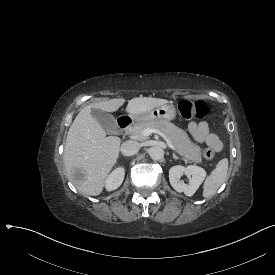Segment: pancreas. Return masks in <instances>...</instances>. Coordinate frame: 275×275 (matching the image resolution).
Returning <instances> with one entry per match:
<instances>
[{"instance_id":"obj_1","label":"pancreas","mask_w":275,"mask_h":275,"mask_svg":"<svg viewBox=\"0 0 275 275\" xmlns=\"http://www.w3.org/2000/svg\"><path fill=\"white\" fill-rule=\"evenodd\" d=\"M146 128L157 129L164 133L172 142L175 151L181 156L198 163L202 161L200 147L190 141L184 130L167 120L136 123L130 126L126 133L134 139L144 141L147 137L142 134V131Z\"/></svg>"}]
</instances>
